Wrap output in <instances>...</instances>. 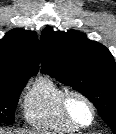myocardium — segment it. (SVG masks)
Instances as JSON below:
<instances>
[{
    "instance_id": "1",
    "label": "myocardium",
    "mask_w": 116,
    "mask_h": 134,
    "mask_svg": "<svg viewBox=\"0 0 116 134\" xmlns=\"http://www.w3.org/2000/svg\"><path fill=\"white\" fill-rule=\"evenodd\" d=\"M73 98L80 99L88 106V108L91 112V119H90L89 123L83 124V123L79 122L77 119H75V117L72 115L70 108H69V103H70V100ZM59 106H60V110H61L63 116L66 118V120L79 129L90 127L91 125H93V123L96 120L97 114H96L95 105L84 93H82L78 90L65 89L60 96Z\"/></svg>"
}]
</instances>
